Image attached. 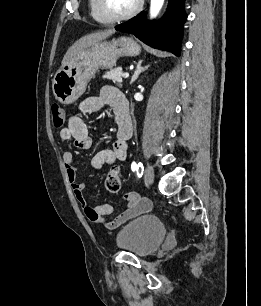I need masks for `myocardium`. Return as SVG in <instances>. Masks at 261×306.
<instances>
[{
  "label": "myocardium",
  "instance_id": "1",
  "mask_svg": "<svg viewBox=\"0 0 261 306\" xmlns=\"http://www.w3.org/2000/svg\"><path fill=\"white\" fill-rule=\"evenodd\" d=\"M144 4V0H138L133 9L124 14L115 13L109 4L108 0H99V7L102 13L110 20V21H123L128 20L134 17L136 14L140 12Z\"/></svg>",
  "mask_w": 261,
  "mask_h": 306
}]
</instances>
